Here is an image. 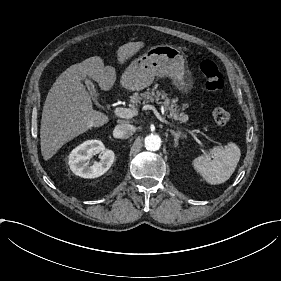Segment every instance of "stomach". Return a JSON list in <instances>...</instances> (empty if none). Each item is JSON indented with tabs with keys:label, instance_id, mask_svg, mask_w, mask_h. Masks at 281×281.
Instances as JSON below:
<instances>
[{
	"label": "stomach",
	"instance_id": "stomach-1",
	"mask_svg": "<svg viewBox=\"0 0 281 281\" xmlns=\"http://www.w3.org/2000/svg\"><path fill=\"white\" fill-rule=\"evenodd\" d=\"M157 77H169L180 91L188 92L193 86L190 72L185 69L181 50L162 44L149 48L131 62L121 76V85L127 90L139 91L150 86Z\"/></svg>",
	"mask_w": 281,
	"mask_h": 281
}]
</instances>
